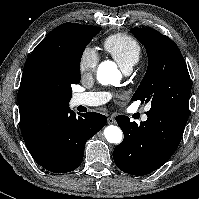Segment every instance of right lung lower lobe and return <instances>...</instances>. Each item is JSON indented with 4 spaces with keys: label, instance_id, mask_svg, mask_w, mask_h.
<instances>
[{
    "label": "right lung lower lobe",
    "instance_id": "98d812e1",
    "mask_svg": "<svg viewBox=\"0 0 199 199\" xmlns=\"http://www.w3.org/2000/svg\"><path fill=\"white\" fill-rule=\"evenodd\" d=\"M107 117L95 112L76 114L69 109L60 113L52 126L26 143L34 160L48 171L65 173L82 163L85 143L106 124Z\"/></svg>",
    "mask_w": 199,
    "mask_h": 199
}]
</instances>
